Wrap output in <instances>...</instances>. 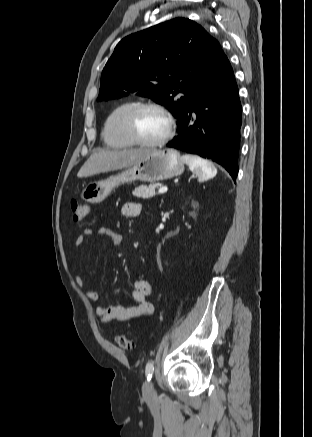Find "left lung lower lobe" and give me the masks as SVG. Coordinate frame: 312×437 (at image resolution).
<instances>
[{"instance_id": "0a47b994", "label": "left lung lower lobe", "mask_w": 312, "mask_h": 437, "mask_svg": "<svg viewBox=\"0 0 312 437\" xmlns=\"http://www.w3.org/2000/svg\"><path fill=\"white\" fill-rule=\"evenodd\" d=\"M241 124L238 87L224 55L215 73L184 110L179 119V134L167 146L217 162L235 181Z\"/></svg>"}]
</instances>
